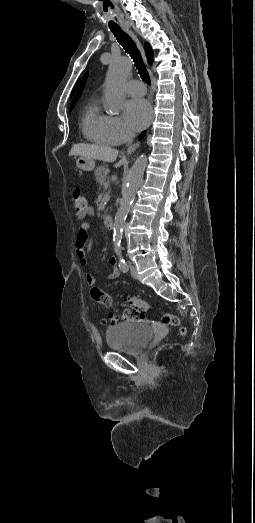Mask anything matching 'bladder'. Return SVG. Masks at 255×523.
I'll return each mask as SVG.
<instances>
[{
  "label": "bladder",
  "instance_id": "31cf9c89",
  "mask_svg": "<svg viewBox=\"0 0 255 523\" xmlns=\"http://www.w3.org/2000/svg\"><path fill=\"white\" fill-rule=\"evenodd\" d=\"M152 335L153 331L146 324L137 321L109 327L105 332L111 350L130 353H140Z\"/></svg>",
  "mask_w": 255,
  "mask_h": 523
}]
</instances>
